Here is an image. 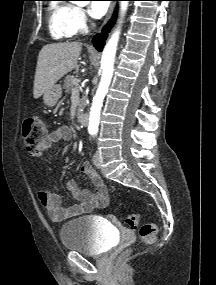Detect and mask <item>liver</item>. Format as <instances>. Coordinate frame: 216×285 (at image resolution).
Returning a JSON list of instances; mask_svg holds the SVG:
<instances>
[{
  "label": "liver",
  "instance_id": "obj_1",
  "mask_svg": "<svg viewBox=\"0 0 216 285\" xmlns=\"http://www.w3.org/2000/svg\"><path fill=\"white\" fill-rule=\"evenodd\" d=\"M80 42H64L45 45L37 59L33 96L38 99L65 74L77 67L81 53Z\"/></svg>",
  "mask_w": 216,
  "mask_h": 285
}]
</instances>
